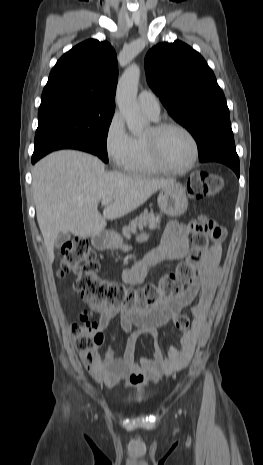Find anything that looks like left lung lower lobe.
<instances>
[{
  "label": "left lung lower lobe",
  "instance_id": "left-lung-lower-lobe-1",
  "mask_svg": "<svg viewBox=\"0 0 263 465\" xmlns=\"http://www.w3.org/2000/svg\"><path fill=\"white\" fill-rule=\"evenodd\" d=\"M201 162L217 161L226 164L234 170L236 175H240L239 157L234 147H224L214 150L207 156L200 159Z\"/></svg>",
  "mask_w": 263,
  "mask_h": 465
}]
</instances>
